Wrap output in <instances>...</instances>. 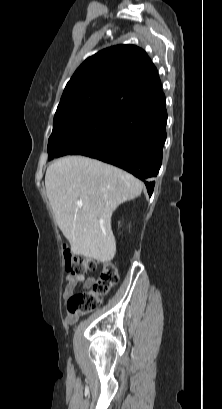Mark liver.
Wrapping results in <instances>:
<instances>
[{
  "label": "liver",
  "mask_w": 222,
  "mask_h": 409,
  "mask_svg": "<svg viewBox=\"0 0 222 409\" xmlns=\"http://www.w3.org/2000/svg\"><path fill=\"white\" fill-rule=\"evenodd\" d=\"M46 193L56 223L74 255L111 261L116 242L111 216L140 196L143 183L115 166L84 156L55 160L46 170ZM82 201V206L77 205Z\"/></svg>",
  "instance_id": "obj_1"
}]
</instances>
